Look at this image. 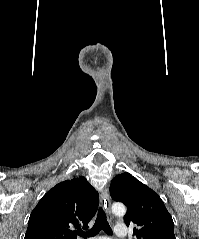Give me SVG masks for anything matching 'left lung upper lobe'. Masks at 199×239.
<instances>
[{
    "instance_id": "obj_1",
    "label": "left lung upper lobe",
    "mask_w": 199,
    "mask_h": 239,
    "mask_svg": "<svg viewBox=\"0 0 199 239\" xmlns=\"http://www.w3.org/2000/svg\"><path fill=\"white\" fill-rule=\"evenodd\" d=\"M113 200L127 206L124 221L135 224L137 239H175L174 223L160 196L130 173L118 174L110 184Z\"/></svg>"
}]
</instances>
